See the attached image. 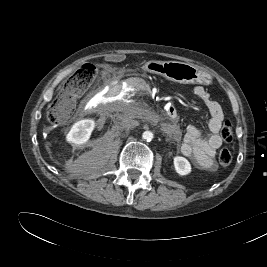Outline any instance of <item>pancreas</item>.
<instances>
[{
	"label": "pancreas",
	"instance_id": "pancreas-1",
	"mask_svg": "<svg viewBox=\"0 0 267 267\" xmlns=\"http://www.w3.org/2000/svg\"><path fill=\"white\" fill-rule=\"evenodd\" d=\"M130 84H131L133 87H135L136 89H141V88H142V85L139 84L138 82L131 81Z\"/></svg>",
	"mask_w": 267,
	"mask_h": 267
}]
</instances>
